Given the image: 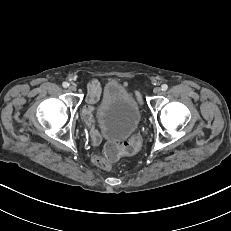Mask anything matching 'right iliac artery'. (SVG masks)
Segmentation results:
<instances>
[{
    "label": "right iliac artery",
    "mask_w": 231,
    "mask_h": 231,
    "mask_svg": "<svg viewBox=\"0 0 231 231\" xmlns=\"http://www.w3.org/2000/svg\"><path fill=\"white\" fill-rule=\"evenodd\" d=\"M62 86H63L64 88H67V87L69 86V84H68L67 82H63Z\"/></svg>",
    "instance_id": "82829eb1"
}]
</instances>
